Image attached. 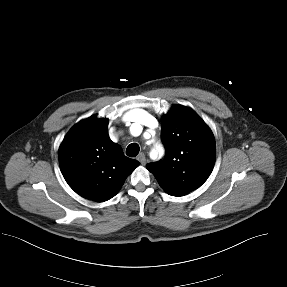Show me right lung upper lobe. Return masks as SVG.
<instances>
[{
    "instance_id": "1",
    "label": "right lung upper lobe",
    "mask_w": 287,
    "mask_h": 287,
    "mask_svg": "<svg viewBox=\"0 0 287 287\" xmlns=\"http://www.w3.org/2000/svg\"><path fill=\"white\" fill-rule=\"evenodd\" d=\"M61 172L80 196L96 202L114 197L139 165L108 135V119L93 115L74 125L59 147Z\"/></svg>"
}]
</instances>
